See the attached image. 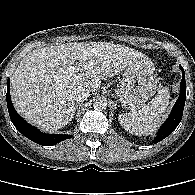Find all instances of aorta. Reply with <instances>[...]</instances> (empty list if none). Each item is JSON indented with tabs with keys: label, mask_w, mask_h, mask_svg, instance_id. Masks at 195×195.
I'll list each match as a JSON object with an SVG mask.
<instances>
[{
	"label": "aorta",
	"mask_w": 195,
	"mask_h": 195,
	"mask_svg": "<svg viewBox=\"0 0 195 195\" xmlns=\"http://www.w3.org/2000/svg\"><path fill=\"white\" fill-rule=\"evenodd\" d=\"M93 106L98 111L104 110L107 108V101L105 99H96Z\"/></svg>",
	"instance_id": "obj_1"
}]
</instances>
